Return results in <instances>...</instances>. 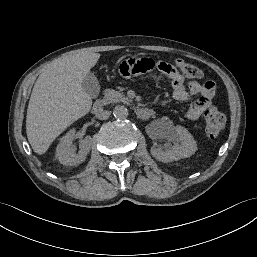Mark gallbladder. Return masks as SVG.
<instances>
[{
    "label": "gallbladder",
    "instance_id": "obj_1",
    "mask_svg": "<svg viewBox=\"0 0 257 257\" xmlns=\"http://www.w3.org/2000/svg\"><path fill=\"white\" fill-rule=\"evenodd\" d=\"M85 92L92 98H96L100 92V85L97 77L93 73H88L82 82Z\"/></svg>",
    "mask_w": 257,
    "mask_h": 257
}]
</instances>
